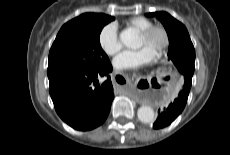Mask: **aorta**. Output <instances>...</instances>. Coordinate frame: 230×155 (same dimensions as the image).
<instances>
[{"label":"aorta","mask_w":230,"mask_h":155,"mask_svg":"<svg viewBox=\"0 0 230 155\" xmlns=\"http://www.w3.org/2000/svg\"><path fill=\"white\" fill-rule=\"evenodd\" d=\"M135 39H136V35L133 32H131L130 30H123L120 33V40L127 47H131L133 45ZM137 116H138V119L142 123L149 124V123H152L154 121L155 112H154L152 107L147 106V105H143L138 109Z\"/></svg>","instance_id":"aorta-1"}]
</instances>
